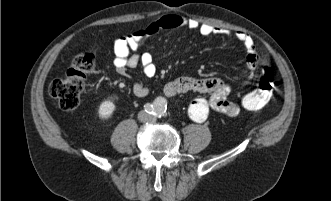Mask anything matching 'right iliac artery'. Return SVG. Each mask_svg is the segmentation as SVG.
Returning a JSON list of instances; mask_svg holds the SVG:
<instances>
[{
    "label": "right iliac artery",
    "mask_w": 331,
    "mask_h": 201,
    "mask_svg": "<svg viewBox=\"0 0 331 201\" xmlns=\"http://www.w3.org/2000/svg\"><path fill=\"white\" fill-rule=\"evenodd\" d=\"M144 109H145V111L147 112V113H150V114H155V108H154V106L152 105V104H149V103H147V104H145L144 105Z\"/></svg>",
    "instance_id": "right-iliac-artery-1"
}]
</instances>
